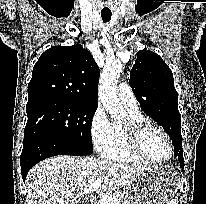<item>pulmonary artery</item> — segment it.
I'll return each mask as SVG.
<instances>
[{
    "instance_id": "obj_1",
    "label": "pulmonary artery",
    "mask_w": 206,
    "mask_h": 204,
    "mask_svg": "<svg viewBox=\"0 0 206 204\" xmlns=\"http://www.w3.org/2000/svg\"><path fill=\"white\" fill-rule=\"evenodd\" d=\"M117 93L122 104L130 108H138L136 97L128 84L121 83L118 86Z\"/></svg>"
}]
</instances>
